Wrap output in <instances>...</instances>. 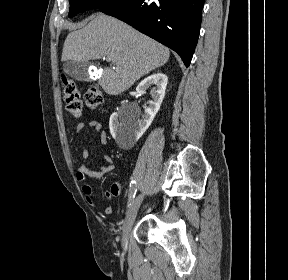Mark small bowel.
<instances>
[{
  "label": "small bowel",
  "mask_w": 288,
  "mask_h": 280,
  "mask_svg": "<svg viewBox=\"0 0 288 280\" xmlns=\"http://www.w3.org/2000/svg\"><path fill=\"white\" fill-rule=\"evenodd\" d=\"M88 127L95 132L100 134V140L103 145H107L108 137L107 133L103 130L102 124L97 120H92L89 122ZM85 124L83 122H79L76 126V133L79 136L81 132L84 130ZM80 155L83 159H88L89 152L86 148L81 147ZM104 161L106 164L99 166L97 169H90L85 165H81L77 171V181L80 185L82 193L87 200V202L97 207V202L94 196V192L92 187L89 185L87 179L94 178V179H101L107 173L111 172L114 169L113 158L109 155L103 156ZM121 193V189L118 183H114L109 190L105 192V197L107 199H112L113 197L119 196ZM102 211L105 214H111L113 211L112 206L107 205L102 208Z\"/></svg>",
  "instance_id": "small-bowel-1"
}]
</instances>
